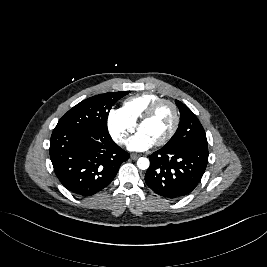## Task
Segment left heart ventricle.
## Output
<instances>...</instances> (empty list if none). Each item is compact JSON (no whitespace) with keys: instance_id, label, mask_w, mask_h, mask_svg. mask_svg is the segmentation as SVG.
<instances>
[{"instance_id":"obj_1","label":"left heart ventricle","mask_w":267,"mask_h":267,"mask_svg":"<svg viewBox=\"0 0 267 267\" xmlns=\"http://www.w3.org/2000/svg\"><path fill=\"white\" fill-rule=\"evenodd\" d=\"M173 121L171 107L163 105L150 120L141 125L139 132L144 133L156 143L168 134Z\"/></svg>"}]
</instances>
